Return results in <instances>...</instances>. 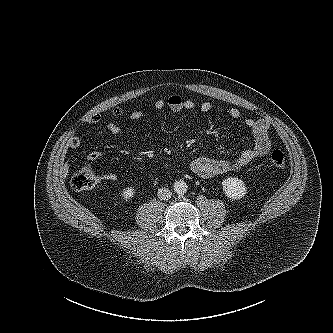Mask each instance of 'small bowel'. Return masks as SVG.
I'll return each instance as SVG.
<instances>
[{
    "mask_svg": "<svg viewBox=\"0 0 333 333\" xmlns=\"http://www.w3.org/2000/svg\"><path fill=\"white\" fill-rule=\"evenodd\" d=\"M155 108L158 110H163L165 108L171 110L172 112H182V111H198L200 113H208L213 109L210 102L196 103L191 99H186L181 95H171L167 99H159L154 104ZM115 116H121L123 110L121 108H115L113 110ZM229 117L235 120L241 119V112L236 107H230L227 110ZM145 117L143 111L135 110L130 113V119L134 121L141 120ZM101 115L95 114L91 116L88 120L89 124L96 125L100 123ZM244 125L252 133L254 143L250 148L244 149L238 155L232 158H210V157H198L190 162V170L199 177L211 178L224 173L238 171L248 165L251 161L264 157L267 155L271 149L270 140V124L265 119L256 118H245ZM108 130L113 134H118L122 131V126L117 121H111L108 124ZM81 145V140L77 136H72L67 142V146L71 149L79 148ZM99 158L97 152L90 154V159L95 161ZM105 180L114 181L116 179V174L107 173L104 176Z\"/></svg>",
    "mask_w": 333,
    "mask_h": 333,
    "instance_id": "1",
    "label": "small bowel"
}]
</instances>
